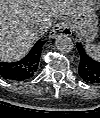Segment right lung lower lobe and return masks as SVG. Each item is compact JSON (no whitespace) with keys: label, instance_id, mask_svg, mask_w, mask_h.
<instances>
[{"label":"right lung lower lobe","instance_id":"1","mask_svg":"<svg viewBox=\"0 0 100 118\" xmlns=\"http://www.w3.org/2000/svg\"><path fill=\"white\" fill-rule=\"evenodd\" d=\"M45 41L38 40L31 51L23 59L13 63H0V76L15 81L31 78L37 71L39 57Z\"/></svg>","mask_w":100,"mask_h":118}]
</instances>
